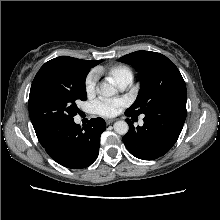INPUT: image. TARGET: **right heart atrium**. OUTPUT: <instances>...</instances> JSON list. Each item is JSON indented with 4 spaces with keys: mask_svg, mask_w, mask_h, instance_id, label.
Masks as SVG:
<instances>
[{
    "mask_svg": "<svg viewBox=\"0 0 220 220\" xmlns=\"http://www.w3.org/2000/svg\"><path fill=\"white\" fill-rule=\"evenodd\" d=\"M96 90V77L89 75L85 80V92L87 96H91Z\"/></svg>",
    "mask_w": 220,
    "mask_h": 220,
    "instance_id": "obj_1",
    "label": "right heart atrium"
}]
</instances>
